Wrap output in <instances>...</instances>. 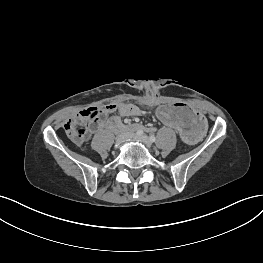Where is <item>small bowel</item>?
Listing matches in <instances>:
<instances>
[{"mask_svg": "<svg viewBox=\"0 0 263 263\" xmlns=\"http://www.w3.org/2000/svg\"><path fill=\"white\" fill-rule=\"evenodd\" d=\"M115 111H117L120 115L125 116V117L137 116V115H139L141 113V110L137 106L132 105V104H117V105H114V109L111 112H115Z\"/></svg>", "mask_w": 263, "mask_h": 263, "instance_id": "c3829d8e", "label": "small bowel"}]
</instances>
